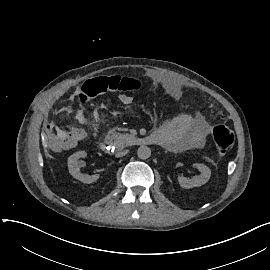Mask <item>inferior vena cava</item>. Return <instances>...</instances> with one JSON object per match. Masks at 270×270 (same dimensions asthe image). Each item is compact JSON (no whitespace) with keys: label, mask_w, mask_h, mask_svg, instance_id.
<instances>
[{"label":"inferior vena cava","mask_w":270,"mask_h":270,"mask_svg":"<svg viewBox=\"0 0 270 270\" xmlns=\"http://www.w3.org/2000/svg\"><path fill=\"white\" fill-rule=\"evenodd\" d=\"M128 152H129V150H123V151H121V152H118V153L116 154V157H123V156H125Z\"/></svg>","instance_id":"obj_1"}]
</instances>
